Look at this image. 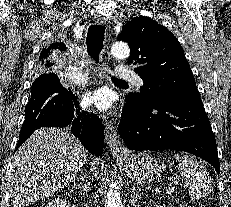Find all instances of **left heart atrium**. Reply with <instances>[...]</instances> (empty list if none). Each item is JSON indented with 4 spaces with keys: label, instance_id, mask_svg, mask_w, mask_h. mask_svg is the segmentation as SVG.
<instances>
[{
    "label": "left heart atrium",
    "instance_id": "39dd6f15",
    "mask_svg": "<svg viewBox=\"0 0 231 207\" xmlns=\"http://www.w3.org/2000/svg\"><path fill=\"white\" fill-rule=\"evenodd\" d=\"M83 103L85 106L107 111L113 106V97L107 89L101 88L86 93L83 96Z\"/></svg>",
    "mask_w": 231,
    "mask_h": 207
}]
</instances>
